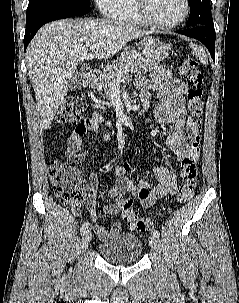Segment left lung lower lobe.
<instances>
[{
  "mask_svg": "<svg viewBox=\"0 0 239 303\" xmlns=\"http://www.w3.org/2000/svg\"><path fill=\"white\" fill-rule=\"evenodd\" d=\"M179 34L201 41L209 50L211 57L215 60V29L213 26H196L186 30L176 31Z\"/></svg>",
  "mask_w": 239,
  "mask_h": 303,
  "instance_id": "0a47b994",
  "label": "left lung lower lobe"
}]
</instances>
